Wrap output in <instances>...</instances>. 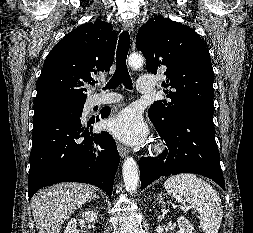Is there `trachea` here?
Here are the masks:
<instances>
[{"label": "trachea", "mask_w": 253, "mask_h": 233, "mask_svg": "<svg viewBox=\"0 0 253 233\" xmlns=\"http://www.w3.org/2000/svg\"><path fill=\"white\" fill-rule=\"evenodd\" d=\"M130 47V35L128 31L120 34L118 47L116 51V70L112 78L107 83L105 89H115L123 84L127 89H132V80L129 75L126 59ZM95 84V83H94Z\"/></svg>", "instance_id": "3493384b"}]
</instances>
